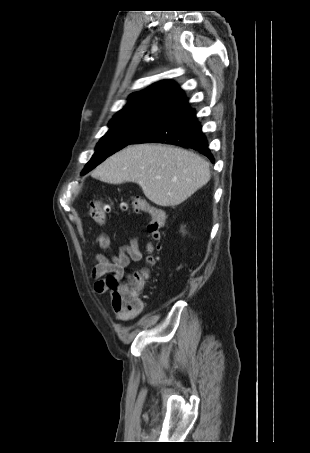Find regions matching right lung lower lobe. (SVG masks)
I'll use <instances>...</instances> for the list:
<instances>
[{
	"mask_svg": "<svg viewBox=\"0 0 310 453\" xmlns=\"http://www.w3.org/2000/svg\"><path fill=\"white\" fill-rule=\"evenodd\" d=\"M145 142L175 144L190 148L214 162L207 139L202 132V126L196 117L195 110L189 106L187 98L171 106L130 144Z\"/></svg>",
	"mask_w": 310,
	"mask_h": 453,
	"instance_id": "obj_1",
	"label": "right lung lower lobe"
}]
</instances>
